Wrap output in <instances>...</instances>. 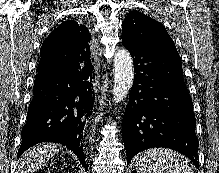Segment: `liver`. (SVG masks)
Returning a JSON list of instances; mask_svg holds the SVG:
<instances>
[{
	"label": "liver",
	"instance_id": "obj_1",
	"mask_svg": "<svg viewBox=\"0 0 219 173\" xmlns=\"http://www.w3.org/2000/svg\"><path fill=\"white\" fill-rule=\"evenodd\" d=\"M59 147L57 144L49 143L32 147L20 158L19 169L16 173H32L44 166L58 152Z\"/></svg>",
	"mask_w": 219,
	"mask_h": 173
}]
</instances>
